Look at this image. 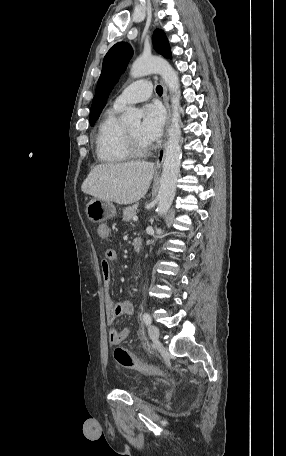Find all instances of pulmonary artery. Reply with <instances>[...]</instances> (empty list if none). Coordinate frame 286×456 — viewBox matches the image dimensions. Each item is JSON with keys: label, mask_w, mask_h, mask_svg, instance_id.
<instances>
[{"label": "pulmonary artery", "mask_w": 286, "mask_h": 456, "mask_svg": "<svg viewBox=\"0 0 286 456\" xmlns=\"http://www.w3.org/2000/svg\"><path fill=\"white\" fill-rule=\"evenodd\" d=\"M152 94V86L146 79H141L128 85L116 97L114 106L125 108L128 105L147 100Z\"/></svg>", "instance_id": "e3ab8cb5"}]
</instances>
